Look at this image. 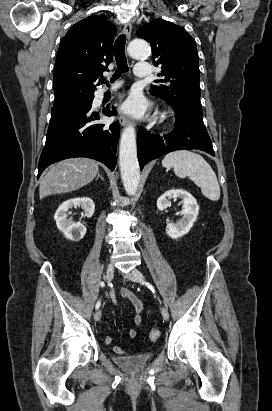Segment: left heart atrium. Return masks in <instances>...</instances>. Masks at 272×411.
<instances>
[{
    "label": "left heart atrium",
    "mask_w": 272,
    "mask_h": 411,
    "mask_svg": "<svg viewBox=\"0 0 272 411\" xmlns=\"http://www.w3.org/2000/svg\"><path fill=\"white\" fill-rule=\"evenodd\" d=\"M123 110L131 115L141 116L145 113L147 103L140 94H132L123 104Z\"/></svg>",
    "instance_id": "1"
}]
</instances>
